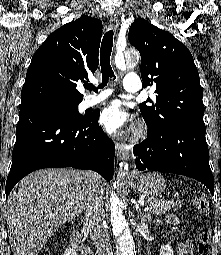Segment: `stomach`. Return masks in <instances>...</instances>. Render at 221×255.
Returning a JSON list of instances; mask_svg holds the SVG:
<instances>
[{"mask_svg":"<svg viewBox=\"0 0 221 255\" xmlns=\"http://www.w3.org/2000/svg\"><path fill=\"white\" fill-rule=\"evenodd\" d=\"M129 184L138 193L149 198L159 196L166 187L164 178L156 172L130 176Z\"/></svg>","mask_w":221,"mask_h":255,"instance_id":"0dacf381","label":"stomach"}]
</instances>
